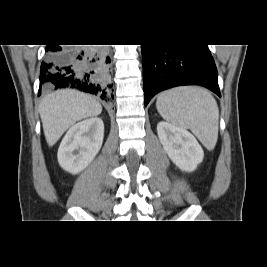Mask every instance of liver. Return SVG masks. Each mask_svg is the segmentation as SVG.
Returning a JSON list of instances; mask_svg holds the SVG:
<instances>
[{"instance_id": "obj_1", "label": "liver", "mask_w": 267, "mask_h": 267, "mask_svg": "<svg viewBox=\"0 0 267 267\" xmlns=\"http://www.w3.org/2000/svg\"><path fill=\"white\" fill-rule=\"evenodd\" d=\"M102 106L91 96L75 90H58L44 97L39 106L46 141L53 146L76 122L94 117Z\"/></svg>"}]
</instances>
